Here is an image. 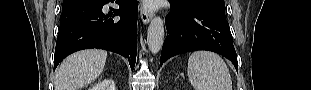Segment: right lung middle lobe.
I'll list each match as a JSON object with an SVG mask.
<instances>
[{
  "label": "right lung middle lobe",
  "mask_w": 311,
  "mask_h": 90,
  "mask_svg": "<svg viewBox=\"0 0 311 90\" xmlns=\"http://www.w3.org/2000/svg\"><path fill=\"white\" fill-rule=\"evenodd\" d=\"M83 1L85 0H63L62 10L67 9L71 6H74Z\"/></svg>",
  "instance_id": "right-lung-middle-lobe-1"
}]
</instances>
